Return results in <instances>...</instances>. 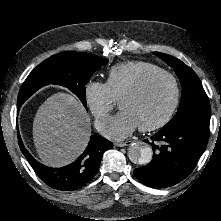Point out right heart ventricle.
Instances as JSON below:
<instances>
[{"label": "right heart ventricle", "mask_w": 221, "mask_h": 221, "mask_svg": "<svg viewBox=\"0 0 221 221\" xmlns=\"http://www.w3.org/2000/svg\"><path fill=\"white\" fill-rule=\"evenodd\" d=\"M161 70L158 65L147 61L131 60L117 63L107 71L106 84L113 96L118 98L144 76Z\"/></svg>", "instance_id": "obj_1"}]
</instances>
